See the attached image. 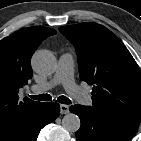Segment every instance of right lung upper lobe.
Returning a JSON list of instances; mask_svg holds the SVG:
<instances>
[{
    "label": "right lung upper lobe",
    "instance_id": "cb5924a9",
    "mask_svg": "<svg viewBox=\"0 0 141 141\" xmlns=\"http://www.w3.org/2000/svg\"><path fill=\"white\" fill-rule=\"evenodd\" d=\"M56 31L30 27L16 31L0 41V133L40 102H19V88L32 77L30 59L39 44Z\"/></svg>",
    "mask_w": 141,
    "mask_h": 141
}]
</instances>
